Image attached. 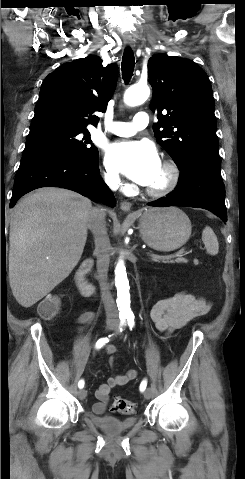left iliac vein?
<instances>
[{"label":"left iliac vein","instance_id":"left-iliac-vein-1","mask_svg":"<svg viewBox=\"0 0 245 479\" xmlns=\"http://www.w3.org/2000/svg\"><path fill=\"white\" fill-rule=\"evenodd\" d=\"M143 395H144V397H145L146 399H149L150 396H151V390H150V389H146V390L144 391Z\"/></svg>","mask_w":245,"mask_h":479}]
</instances>
